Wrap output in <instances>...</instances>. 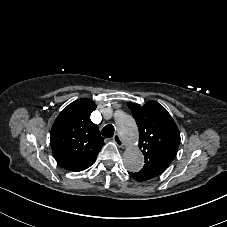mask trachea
I'll return each mask as SVG.
<instances>
[{"mask_svg": "<svg viewBox=\"0 0 227 227\" xmlns=\"http://www.w3.org/2000/svg\"><path fill=\"white\" fill-rule=\"evenodd\" d=\"M101 134L106 138H111L114 135V127L109 124L101 130Z\"/></svg>", "mask_w": 227, "mask_h": 227, "instance_id": "trachea-1", "label": "trachea"}]
</instances>
